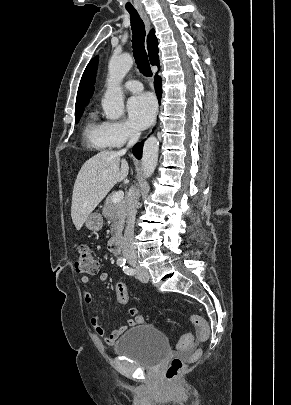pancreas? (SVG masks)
Segmentation results:
<instances>
[{"instance_id": "1", "label": "pancreas", "mask_w": 291, "mask_h": 405, "mask_svg": "<svg viewBox=\"0 0 291 405\" xmlns=\"http://www.w3.org/2000/svg\"><path fill=\"white\" fill-rule=\"evenodd\" d=\"M113 195L114 194H110L106 198L102 214L106 219L111 221V234L117 236L120 235L123 230L126 218V205L124 201L113 203Z\"/></svg>"}]
</instances>
